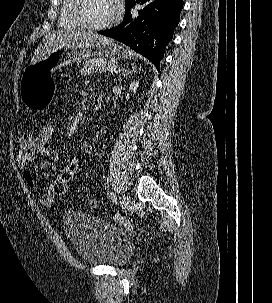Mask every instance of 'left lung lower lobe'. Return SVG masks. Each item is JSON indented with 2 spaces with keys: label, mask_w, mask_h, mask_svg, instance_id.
<instances>
[{
  "label": "left lung lower lobe",
  "mask_w": 272,
  "mask_h": 303,
  "mask_svg": "<svg viewBox=\"0 0 272 303\" xmlns=\"http://www.w3.org/2000/svg\"><path fill=\"white\" fill-rule=\"evenodd\" d=\"M136 3H147L137 16L130 13ZM183 0H133L127 6L122 23L112 29L99 31L131 47L149 59L159 70L166 45L180 21Z\"/></svg>",
  "instance_id": "obj_1"
}]
</instances>
